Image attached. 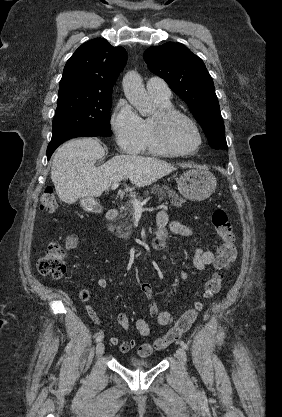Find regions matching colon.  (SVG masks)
I'll return each mask as SVG.
<instances>
[{"mask_svg":"<svg viewBox=\"0 0 282 417\" xmlns=\"http://www.w3.org/2000/svg\"><path fill=\"white\" fill-rule=\"evenodd\" d=\"M40 203L45 213L52 215L57 207L58 201L52 187L47 186L40 198ZM212 225L220 239V246L217 251V261L222 267L232 265L237 257V243L233 232V225L229 221L226 212L223 209H217L213 212ZM37 269L40 273L50 275L53 278H61L66 274V263L63 250L56 244H48V249L38 263ZM223 276L219 273L210 277L204 286L203 296L206 298L218 294L221 290ZM202 305L199 303L194 308L187 310L174 324L171 330L166 331L163 339H158L152 347L144 345L140 349L141 356H152L153 351L160 353L165 344H175L176 340L187 328L196 320Z\"/></svg>","mask_w":282,"mask_h":417,"instance_id":"5ec220e1","label":"colon"}]
</instances>
